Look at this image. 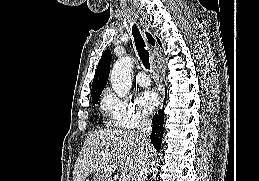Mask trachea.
<instances>
[{"label": "trachea", "mask_w": 259, "mask_h": 181, "mask_svg": "<svg viewBox=\"0 0 259 181\" xmlns=\"http://www.w3.org/2000/svg\"><path fill=\"white\" fill-rule=\"evenodd\" d=\"M132 35L134 38L135 46L138 51L139 57L144 65V67L149 70L150 69L149 51L146 48V44L141 36L140 31L138 30V28L135 25L132 26Z\"/></svg>", "instance_id": "3493384b"}]
</instances>
